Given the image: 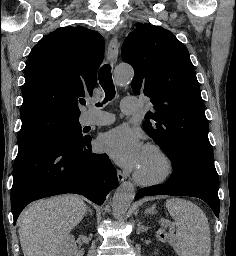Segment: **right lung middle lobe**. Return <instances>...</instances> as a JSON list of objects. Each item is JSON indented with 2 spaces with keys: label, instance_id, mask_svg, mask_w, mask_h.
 <instances>
[{
  "label": "right lung middle lobe",
  "instance_id": "1",
  "mask_svg": "<svg viewBox=\"0 0 236 256\" xmlns=\"http://www.w3.org/2000/svg\"><path fill=\"white\" fill-rule=\"evenodd\" d=\"M79 118L66 117L55 111H43L22 119L18 135V154L54 140L79 142L83 136Z\"/></svg>",
  "mask_w": 236,
  "mask_h": 256
}]
</instances>
